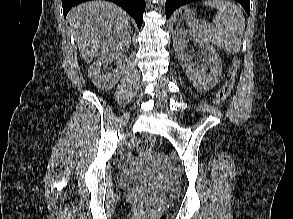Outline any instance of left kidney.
Wrapping results in <instances>:
<instances>
[{
    "instance_id": "left-kidney-1",
    "label": "left kidney",
    "mask_w": 293,
    "mask_h": 219,
    "mask_svg": "<svg viewBox=\"0 0 293 219\" xmlns=\"http://www.w3.org/2000/svg\"><path fill=\"white\" fill-rule=\"evenodd\" d=\"M186 38L193 40L200 46L203 56L202 65L196 66L191 62L190 55L185 51ZM173 47L177 59L195 88L206 92L216 86L222 76V62L216 49L210 43L184 28H176Z\"/></svg>"
}]
</instances>
